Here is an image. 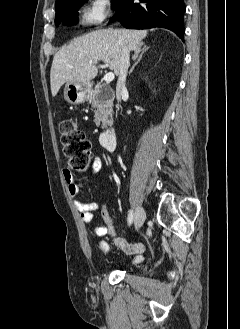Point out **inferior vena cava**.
I'll return each mask as SVG.
<instances>
[{
	"label": "inferior vena cava",
	"mask_w": 240,
	"mask_h": 329,
	"mask_svg": "<svg viewBox=\"0 0 240 329\" xmlns=\"http://www.w3.org/2000/svg\"><path fill=\"white\" fill-rule=\"evenodd\" d=\"M130 51L127 46L122 47L121 57H120V69H119V77L116 86V96L118 102L121 101V97L124 93L127 92L125 82L127 71L129 67V60H130Z\"/></svg>",
	"instance_id": "602c4592"
}]
</instances>
